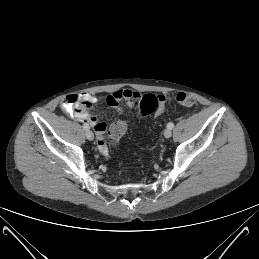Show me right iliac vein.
<instances>
[{
	"instance_id": "right-iliac-vein-1",
	"label": "right iliac vein",
	"mask_w": 259,
	"mask_h": 259,
	"mask_svg": "<svg viewBox=\"0 0 259 259\" xmlns=\"http://www.w3.org/2000/svg\"><path fill=\"white\" fill-rule=\"evenodd\" d=\"M86 137L88 140H93L94 139V134L90 130H86Z\"/></svg>"
}]
</instances>
